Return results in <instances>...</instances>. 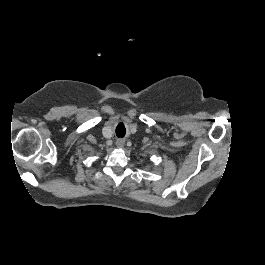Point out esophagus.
<instances>
[{"instance_id":"esophagus-1","label":"esophagus","mask_w":265,"mask_h":265,"mask_svg":"<svg viewBox=\"0 0 265 265\" xmlns=\"http://www.w3.org/2000/svg\"><path fill=\"white\" fill-rule=\"evenodd\" d=\"M124 144H125V141L123 139H118L116 141L117 148H122L124 146Z\"/></svg>"}]
</instances>
